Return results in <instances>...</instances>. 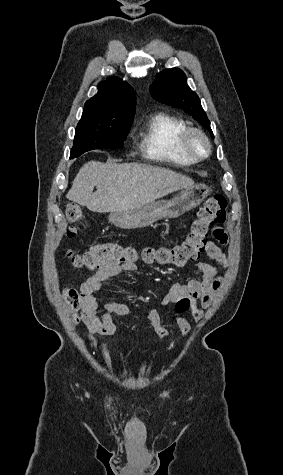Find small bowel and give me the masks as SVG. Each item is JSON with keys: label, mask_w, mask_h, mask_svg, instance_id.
Returning <instances> with one entry per match:
<instances>
[{"label": "small bowel", "mask_w": 283, "mask_h": 475, "mask_svg": "<svg viewBox=\"0 0 283 475\" xmlns=\"http://www.w3.org/2000/svg\"><path fill=\"white\" fill-rule=\"evenodd\" d=\"M216 224L210 223L208 225L211 235L215 237L218 244L230 247L231 241L228 237L231 235V230L228 228V225L219 221ZM206 254L221 266H227L228 259L215 242L209 241L206 244ZM136 271L137 266L131 263L105 265L95 270L81 286V321L87 330V340L90 343L95 342V334L112 335L116 332L117 326L113 321V316L142 317L150 322L159 339L167 336V330L164 328L161 315L156 309L136 310L127 304L108 302L103 305L102 311L98 313L99 303L95 294L102 289L103 284L118 274L134 273ZM197 271V276L187 283H174L170 285L161 299V304L167 307L176 304V312L178 313L177 305L181 293H192L194 305L193 307H188L187 310H190L194 320L199 322L203 319V310L210 307L215 293L219 290L222 277L218 269L207 262H199L197 264ZM178 326L181 337H188L191 332L190 324L185 319L178 318Z\"/></svg>", "instance_id": "1"}]
</instances>
